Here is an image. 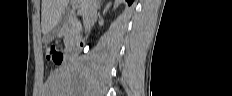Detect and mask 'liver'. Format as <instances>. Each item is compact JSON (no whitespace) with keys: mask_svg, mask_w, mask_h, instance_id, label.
<instances>
[{"mask_svg":"<svg viewBox=\"0 0 232 96\" xmlns=\"http://www.w3.org/2000/svg\"><path fill=\"white\" fill-rule=\"evenodd\" d=\"M86 1L76 0L79 15L84 13ZM68 3L69 0H42L41 28L44 35L50 32L58 23Z\"/></svg>","mask_w":232,"mask_h":96,"instance_id":"obj_1","label":"liver"}]
</instances>
